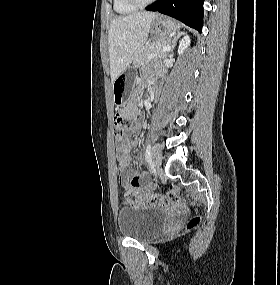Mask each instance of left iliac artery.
I'll return each mask as SVG.
<instances>
[{
	"instance_id": "44dca946",
	"label": "left iliac artery",
	"mask_w": 280,
	"mask_h": 285,
	"mask_svg": "<svg viewBox=\"0 0 280 285\" xmlns=\"http://www.w3.org/2000/svg\"><path fill=\"white\" fill-rule=\"evenodd\" d=\"M145 158H146V162H150V160H151V145H150V143H148L146 146Z\"/></svg>"
}]
</instances>
